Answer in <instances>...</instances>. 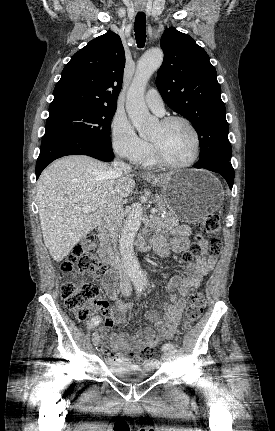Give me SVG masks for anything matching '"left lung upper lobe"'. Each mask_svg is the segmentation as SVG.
Returning <instances> with one entry per match:
<instances>
[{
    "mask_svg": "<svg viewBox=\"0 0 275 431\" xmlns=\"http://www.w3.org/2000/svg\"><path fill=\"white\" fill-rule=\"evenodd\" d=\"M164 60L156 85L165 103L187 118L199 136V164L230 162L229 126L217 73L205 50L171 27L160 42Z\"/></svg>",
    "mask_w": 275,
    "mask_h": 431,
    "instance_id": "1",
    "label": "left lung upper lobe"
}]
</instances>
